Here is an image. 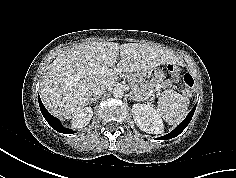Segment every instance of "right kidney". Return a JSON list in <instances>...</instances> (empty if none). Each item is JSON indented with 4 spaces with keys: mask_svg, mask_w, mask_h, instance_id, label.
Segmentation results:
<instances>
[{
    "mask_svg": "<svg viewBox=\"0 0 236 178\" xmlns=\"http://www.w3.org/2000/svg\"><path fill=\"white\" fill-rule=\"evenodd\" d=\"M93 111L91 107H85L80 113H78L74 118H72L71 126L73 128H82L88 125L92 119Z\"/></svg>",
    "mask_w": 236,
    "mask_h": 178,
    "instance_id": "1",
    "label": "right kidney"
}]
</instances>
